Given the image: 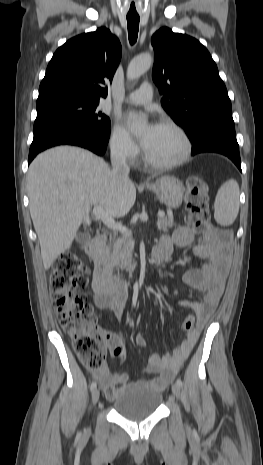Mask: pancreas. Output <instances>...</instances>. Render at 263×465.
Masks as SVG:
<instances>
[{"mask_svg": "<svg viewBox=\"0 0 263 465\" xmlns=\"http://www.w3.org/2000/svg\"><path fill=\"white\" fill-rule=\"evenodd\" d=\"M175 225L172 216H163L158 219L157 226L159 230L167 232L169 228ZM134 250V241L127 234H123L117 239H113L107 249L108 259L110 264L119 269H127L132 272L135 264L132 262Z\"/></svg>", "mask_w": 263, "mask_h": 465, "instance_id": "obj_1", "label": "pancreas"}]
</instances>
